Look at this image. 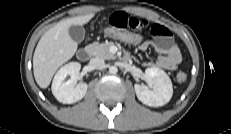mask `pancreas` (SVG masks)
<instances>
[{
  "label": "pancreas",
  "instance_id": "cf45deb5",
  "mask_svg": "<svg viewBox=\"0 0 231 134\" xmlns=\"http://www.w3.org/2000/svg\"><path fill=\"white\" fill-rule=\"evenodd\" d=\"M111 45H113V42H93L88 46V49L93 56L100 57L102 59H115L116 56L110 52Z\"/></svg>",
  "mask_w": 231,
  "mask_h": 134
}]
</instances>
